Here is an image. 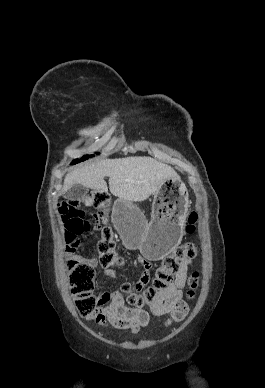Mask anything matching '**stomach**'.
Returning a JSON list of instances; mask_svg holds the SVG:
<instances>
[{
  "mask_svg": "<svg viewBox=\"0 0 265 388\" xmlns=\"http://www.w3.org/2000/svg\"><path fill=\"white\" fill-rule=\"evenodd\" d=\"M189 204L185 184L170 178L154 193L151 221L139 208L121 198L114 203L112 218L126 248L139 249L144 257L157 261L180 242Z\"/></svg>",
  "mask_w": 265,
  "mask_h": 388,
  "instance_id": "1",
  "label": "stomach"
}]
</instances>
